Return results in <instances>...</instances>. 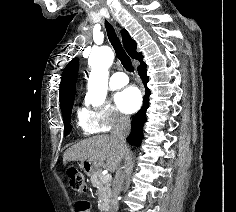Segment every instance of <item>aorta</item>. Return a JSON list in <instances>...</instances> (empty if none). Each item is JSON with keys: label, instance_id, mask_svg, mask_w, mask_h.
Masks as SVG:
<instances>
[{"label": "aorta", "instance_id": "762f6f07", "mask_svg": "<svg viewBox=\"0 0 236 212\" xmlns=\"http://www.w3.org/2000/svg\"><path fill=\"white\" fill-rule=\"evenodd\" d=\"M113 60L114 53L107 46L95 49L89 56L88 64L91 72L88 79L87 98L93 106H99L105 101L108 90V68Z\"/></svg>", "mask_w": 236, "mask_h": 212}]
</instances>
